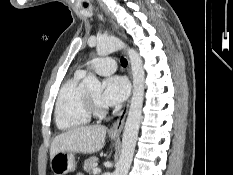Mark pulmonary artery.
Returning a JSON list of instances; mask_svg holds the SVG:
<instances>
[{
	"label": "pulmonary artery",
	"instance_id": "pulmonary-artery-1",
	"mask_svg": "<svg viewBox=\"0 0 233 175\" xmlns=\"http://www.w3.org/2000/svg\"><path fill=\"white\" fill-rule=\"evenodd\" d=\"M89 70L99 75H109L116 70V61L112 58L95 59L88 62L85 69L79 70L78 73L85 75Z\"/></svg>",
	"mask_w": 233,
	"mask_h": 175
}]
</instances>
